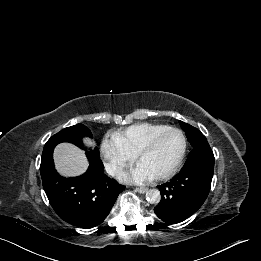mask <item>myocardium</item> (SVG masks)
<instances>
[{
  "mask_svg": "<svg viewBox=\"0 0 261 261\" xmlns=\"http://www.w3.org/2000/svg\"><path fill=\"white\" fill-rule=\"evenodd\" d=\"M168 132H175V133H177L181 137L182 146H181V150H180L179 156H178L176 162L174 163V165L167 172L155 176L154 178L157 179V180H166V179L171 178L173 175L176 174V172L182 166L184 158H185L186 150H187V140H186V137L183 134V132L181 130H179L178 128L167 127L165 129L159 131L158 133H156L154 136H152L151 139L142 147V149L136 155L137 161L140 162V160L145 155H147L148 153H150L153 150V148L155 147V145L158 142V140L164 134H166Z\"/></svg>",
  "mask_w": 261,
  "mask_h": 261,
  "instance_id": "myocardium-1",
  "label": "myocardium"
}]
</instances>
